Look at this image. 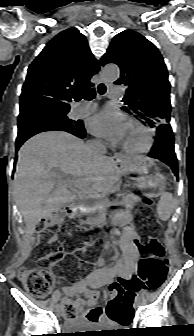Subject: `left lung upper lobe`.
<instances>
[{"label":"left lung upper lobe","instance_id":"1","mask_svg":"<svg viewBox=\"0 0 194 336\" xmlns=\"http://www.w3.org/2000/svg\"><path fill=\"white\" fill-rule=\"evenodd\" d=\"M115 63L120 78L115 84L126 86L121 109L153 128L170 122V83L163 57L156 46L141 34L124 30L117 34L101 65Z\"/></svg>","mask_w":194,"mask_h":336}]
</instances>
